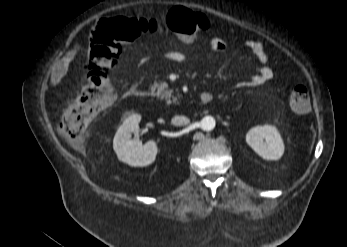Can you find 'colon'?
Returning <instances> with one entry per match:
<instances>
[{
	"instance_id": "1",
	"label": "colon",
	"mask_w": 347,
	"mask_h": 247,
	"mask_svg": "<svg viewBox=\"0 0 347 247\" xmlns=\"http://www.w3.org/2000/svg\"><path fill=\"white\" fill-rule=\"evenodd\" d=\"M166 25L184 41H193L205 32L210 21L203 13L175 7L166 16ZM163 26L156 17L117 15L102 19L95 27L88 54L87 81L80 97L62 111L59 131L67 138L76 137L102 109L114 101L112 69L122 56L123 46L144 33H155ZM291 108L306 113L310 106L307 88L297 85L289 96Z\"/></svg>"
}]
</instances>
